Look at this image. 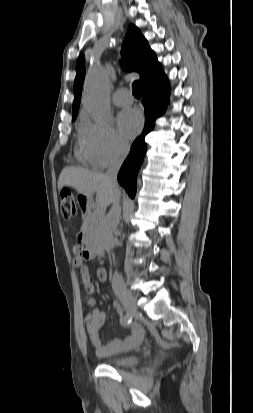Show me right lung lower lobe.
I'll list each match as a JSON object with an SVG mask.
<instances>
[{
    "label": "right lung lower lobe",
    "mask_w": 253,
    "mask_h": 413,
    "mask_svg": "<svg viewBox=\"0 0 253 413\" xmlns=\"http://www.w3.org/2000/svg\"><path fill=\"white\" fill-rule=\"evenodd\" d=\"M142 86L145 126L142 134L134 141L130 153L118 173L120 185L126 189L132 198L136 192V175L147 149L144 138L153 130L155 119L163 114L170 93L169 81L165 74L152 78Z\"/></svg>",
    "instance_id": "98d812e1"
}]
</instances>
